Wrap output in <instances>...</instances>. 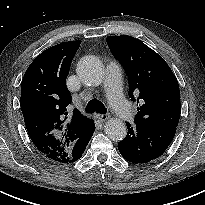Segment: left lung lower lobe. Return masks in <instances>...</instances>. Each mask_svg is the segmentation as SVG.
<instances>
[{
  "instance_id": "left-lung-lower-lobe-1",
  "label": "left lung lower lobe",
  "mask_w": 205,
  "mask_h": 205,
  "mask_svg": "<svg viewBox=\"0 0 205 205\" xmlns=\"http://www.w3.org/2000/svg\"><path fill=\"white\" fill-rule=\"evenodd\" d=\"M126 138L118 142V149L129 162L147 163L161 156L170 145L176 128L152 126L135 121L126 123Z\"/></svg>"
}]
</instances>
